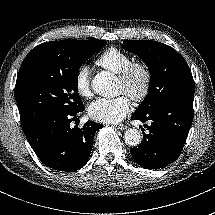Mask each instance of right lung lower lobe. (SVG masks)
Segmentation results:
<instances>
[{"label": "right lung lower lobe", "instance_id": "right-lung-lower-lobe-1", "mask_svg": "<svg viewBox=\"0 0 215 215\" xmlns=\"http://www.w3.org/2000/svg\"><path fill=\"white\" fill-rule=\"evenodd\" d=\"M83 110L84 106L71 113H47L22 127L29 144L44 165L72 172L87 163L94 133L102 125L91 121L81 129L77 126L71 128L70 123Z\"/></svg>", "mask_w": 215, "mask_h": 215}]
</instances>
